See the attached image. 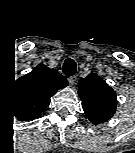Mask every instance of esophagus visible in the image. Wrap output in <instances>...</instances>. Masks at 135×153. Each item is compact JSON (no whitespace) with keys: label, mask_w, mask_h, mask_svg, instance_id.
<instances>
[{"label":"esophagus","mask_w":135,"mask_h":153,"mask_svg":"<svg viewBox=\"0 0 135 153\" xmlns=\"http://www.w3.org/2000/svg\"><path fill=\"white\" fill-rule=\"evenodd\" d=\"M76 80H77V77H76L75 75L70 76V77L68 78V81H69V84H70V85L75 84Z\"/></svg>","instance_id":"obj_1"}]
</instances>
